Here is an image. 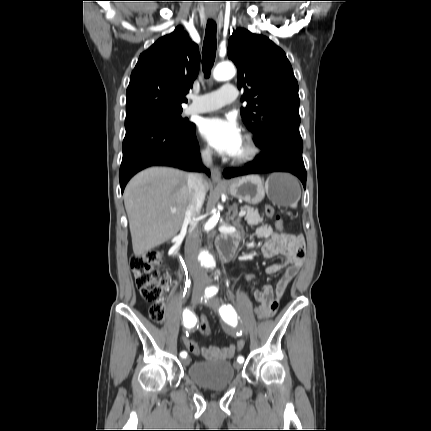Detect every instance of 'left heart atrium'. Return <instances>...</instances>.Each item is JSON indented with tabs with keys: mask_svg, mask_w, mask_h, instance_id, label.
<instances>
[{
	"mask_svg": "<svg viewBox=\"0 0 431 431\" xmlns=\"http://www.w3.org/2000/svg\"><path fill=\"white\" fill-rule=\"evenodd\" d=\"M201 136L219 153L234 156L243 137L238 125L219 116L204 118L199 125Z\"/></svg>",
	"mask_w": 431,
	"mask_h": 431,
	"instance_id": "left-heart-atrium-1",
	"label": "left heart atrium"
}]
</instances>
